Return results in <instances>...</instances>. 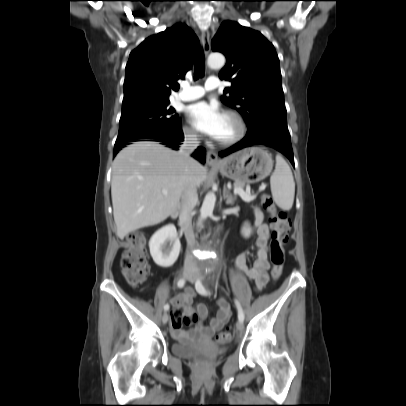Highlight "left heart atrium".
<instances>
[{"label": "left heart atrium", "mask_w": 406, "mask_h": 406, "mask_svg": "<svg viewBox=\"0 0 406 406\" xmlns=\"http://www.w3.org/2000/svg\"><path fill=\"white\" fill-rule=\"evenodd\" d=\"M187 112L194 128L217 138L224 116L217 105L201 101L190 105Z\"/></svg>", "instance_id": "39dd6f15"}]
</instances>
